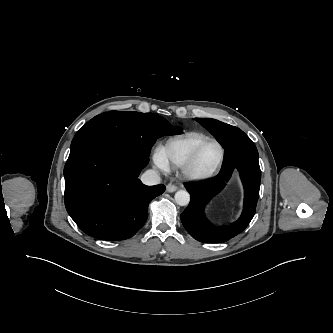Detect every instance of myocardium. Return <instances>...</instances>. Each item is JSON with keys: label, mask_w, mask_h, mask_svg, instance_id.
I'll return each mask as SVG.
<instances>
[{"label": "myocardium", "mask_w": 333, "mask_h": 333, "mask_svg": "<svg viewBox=\"0 0 333 333\" xmlns=\"http://www.w3.org/2000/svg\"><path fill=\"white\" fill-rule=\"evenodd\" d=\"M210 143L217 145L220 150V155H219L218 161L207 172H202V173L197 172L195 169V166H196L198 156H199L201 150ZM224 159H225V149H224L223 145L217 139L209 137L206 140L199 143L197 145V147L193 150V152L191 153V155L188 158V160L186 161V163L182 166V172H183L184 176L190 181H194V182L206 181V180H209L210 178H212L219 171V169L221 168V166L224 162Z\"/></svg>", "instance_id": "1"}]
</instances>
